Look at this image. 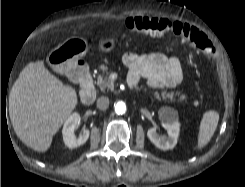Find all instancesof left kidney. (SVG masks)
I'll use <instances>...</instances> for the list:
<instances>
[{
    "label": "left kidney",
    "instance_id": "left-kidney-1",
    "mask_svg": "<svg viewBox=\"0 0 245 187\" xmlns=\"http://www.w3.org/2000/svg\"><path fill=\"white\" fill-rule=\"evenodd\" d=\"M159 118L167 131L168 136H160L157 128L153 127L147 131L150 141L161 150L173 149L177 144L179 136L180 123L178 121V112L170 107H163L159 110Z\"/></svg>",
    "mask_w": 245,
    "mask_h": 187
}]
</instances>
